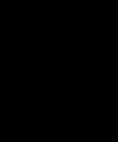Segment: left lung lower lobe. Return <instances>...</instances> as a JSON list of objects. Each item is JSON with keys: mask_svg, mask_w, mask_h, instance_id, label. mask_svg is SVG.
<instances>
[{"mask_svg": "<svg viewBox=\"0 0 118 142\" xmlns=\"http://www.w3.org/2000/svg\"><path fill=\"white\" fill-rule=\"evenodd\" d=\"M61 124L64 132L70 135L75 142H94L91 140H94L102 131L88 124L73 110H69L61 117Z\"/></svg>", "mask_w": 118, "mask_h": 142, "instance_id": "obj_1", "label": "left lung lower lobe"}]
</instances>
